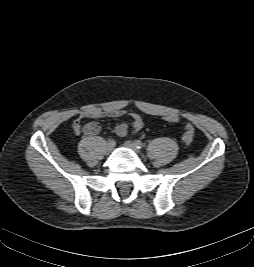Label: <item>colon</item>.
<instances>
[{"label":"colon","mask_w":254,"mask_h":267,"mask_svg":"<svg viewBox=\"0 0 254 267\" xmlns=\"http://www.w3.org/2000/svg\"><path fill=\"white\" fill-rule=\"evenodd\" d=\"M165 120L170 123H175L179 121V116L177 114H169L165 116ZM194 133H195L194 127L191 124L186 123L184 127V133L182 136V140L185 145L188 146L192 143L194 138Z\"/></svg>","instance_id":"obj_1"}]
</instances>
